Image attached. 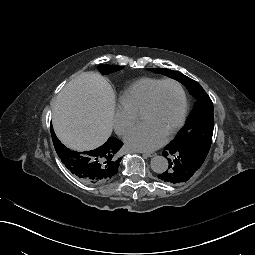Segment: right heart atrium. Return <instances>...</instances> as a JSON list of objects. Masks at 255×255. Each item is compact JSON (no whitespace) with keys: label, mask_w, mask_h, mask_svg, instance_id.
<instances>
[{"label":"right heart atrium","mask_w":255,"mask_h":255,"mask_svg":"<svg viewBox=\"0 0 255 255\" xmlns=\"http://www.w3.org/2000/svg\"><path fill=\"white\" fill-rule=\"evenodd\" d=\"M138 120V114L125 109L116 107L113 112V125L118 135H124Z\"/></svg>","instance_id":"obj_1"}]
</instances>
